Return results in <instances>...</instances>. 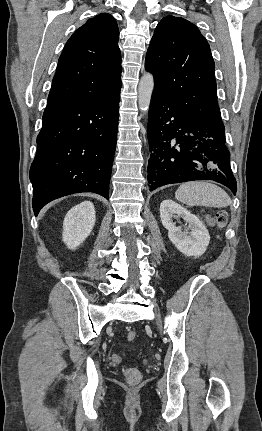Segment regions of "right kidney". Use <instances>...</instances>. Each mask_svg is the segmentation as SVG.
I'll return each instance as SVG.
<instances>
[{
  "label": "right kidney",
  "mask_w": 262,
  "mask_h": 431,
  "mask_svg": "<svg viewBox=\"0 0 262 431\" xmlns=\"http://www.w3.org/2000/svg\"><path fill=\"white\" fill-rule=\"evenodd\" d=\"M95 208L84 201L71 208L63 222V241L69 249H76L91 233L95 224Z\"/></svg>",
  "instance_id": "1"
}]
</instances>
